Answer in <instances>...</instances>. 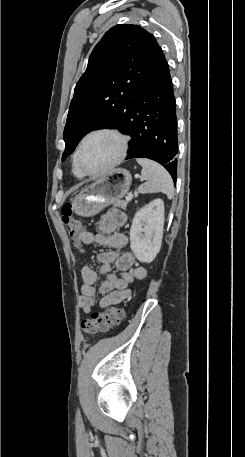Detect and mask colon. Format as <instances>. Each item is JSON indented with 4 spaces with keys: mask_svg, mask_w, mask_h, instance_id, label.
I'll use <instances>...</instances> for the list:
<instances>
[{
    "mask_svg": "<svg viewBox=\"0 0 245 457\" xmlns=\"http://www.w3.org/2000/svg\"><path fill=\"white\" fill-rule=\"evenodd\" d=\"M62 222L71 241L76 246H80L82 229L78 221L73 216L70 204H66L62 208ZM123 317L124 311L122 308L109 307L104 312L93 313L90 318L84 319L81 322V329L87 335L106 332L118 325Z\"/></svg>",
    "mask_w": 245,
    "mask_h": 457,
    "instance_id": "5ec220e1",
    "label": "colon"
}]
</instances>
